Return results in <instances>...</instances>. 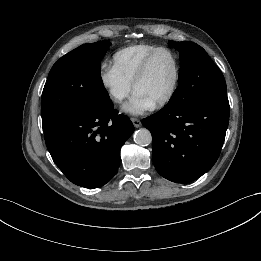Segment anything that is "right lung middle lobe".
Listing matches in <instances>:
<instances>
[{
    "label": "right lung middle lobe",
    "instance_id": "obj_1",
    "mask_svg": "<svg viewBox=\"0 0 261 261\" xmlns=\"http://www.w3.org/2000/svg\"><path fill=\"white\" fill-rule=\"evenodd\" d=\"M110 45L107 41L83 44L53 65L42 93L44 132L72 117L100 112L110 105L100 76V61Z\"/></svg>",
    "mask_w": 261,
    "mask_h": 261
}]
</instances>
